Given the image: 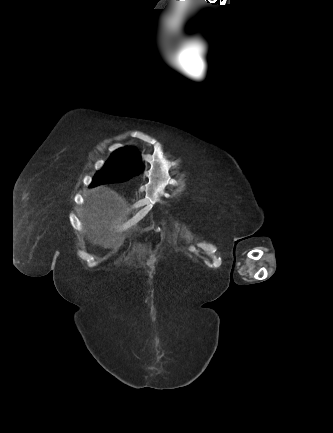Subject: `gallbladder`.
Here are the masks:
<instances>
[{"label": "gallbladder", "instance_id": "gallbladder-1", "mask_svg": "<svg viewBox=\"0 0 333 433\" xmlns=\"http://www.w3.org/2000/svg\"><path fill=\"white\" fill-rule=\"evenodd\" d=\"M187 16H188L189 18H192L191 15L189 14V11H187Z\"/></svg>", "mask_w": 333, "mask_h": 433}]
</instances>
